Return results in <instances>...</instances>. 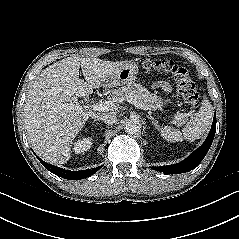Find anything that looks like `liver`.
Segmentation results:
<instances>
[{
  "instance_id": "6515ba94",
  "label": "liver",
  "mask_w": 239,
  "mask_h": 239,
  "mask_svg": "<svg viewBox=\"0 0 239 239\" xmlns=\"http://www.w3.org/2000/svg\"><path fill=\"white\" fill-rule=\"evenodd\" d=\"M124 63L71 56L37 76L24 105V123L28 140L40 157L52 164H64L70 159L74 138L94 115L80 109L78 97L104 87ZM80 67L85 81L79 78Z\"/></svg>"
}]
</instances>
